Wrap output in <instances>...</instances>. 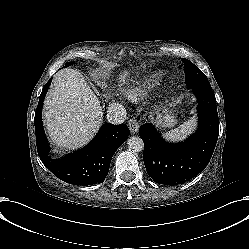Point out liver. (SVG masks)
<instances>
[{
    "label": "liver",
    "instance_id": "1",
    "mask_svg": "<svg viewBox=\"0 0 249 249\" xmlns=\"http://www.w3.org/2000/svg\"><path fill=\"white\" fill-rule=\"evenodd\" d=\"M43 119L51 142L60 150L86 145L103 123V107L77 70L58 73L46 95Z\"/></svg>",
    "mask_w": 249,
    "mask_h": 249
}]
</instances>
